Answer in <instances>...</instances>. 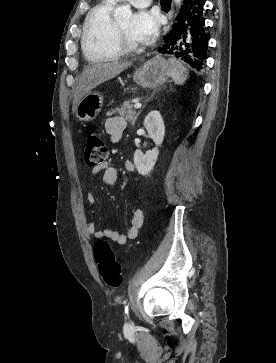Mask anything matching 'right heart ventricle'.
Segmentation results:
<instances>
[{"label":"right heart ventricle","mask_w":276,"mask_h":363,"mask_svg":"<svg viewBox=\"0 0 276 363\" xmlns=\"http://www.w3.org/2000/svg\"><path fill=\"white\" fill-rule=\"evenodd\" d=\"M113 8V0H103L85 20L81 44L89 61H111L121 55L113 43Z\"/></svg>","instance_id":"right-heart-ventricle-1"}]
</instances>
